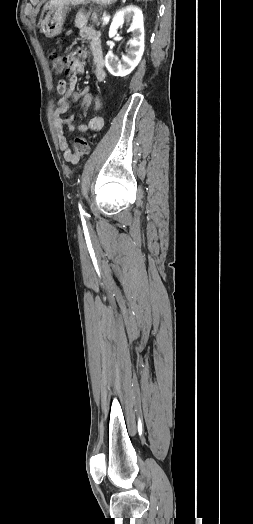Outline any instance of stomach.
<instances>
[{"label":"stomach","mask_w":253,"mask_h":524,"mask_svg":"<svg viewBox=\"0 0 253 524\" xmlns=\"http://www.w3.org/2000/svg\"><path fill=\"white\" fill-rule=\"evenodd\" d=\"M117 0H49L42 10L39 27L46 37H55L62 31L66 13L71 6L97 3L99 5H111Z\"/></svg>","instance_id":"obj_1"}]
</instances>
